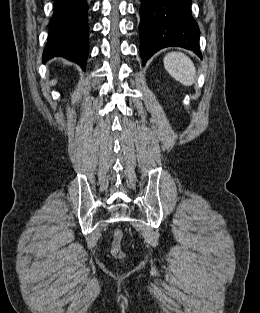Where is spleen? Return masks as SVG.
I'll use <instances>...</instances> for the list:
<instances>
[{
	"instance_id": "1",
	"label": "spleen",
	"mask_w": 260,
	"mask_h": 313,
	"mask_svg": "<svg viewBox=\"0 0 260 313\" xmlns=\"http://www.w3.org/2000/svg\"><path fill=\"white\" fill-rule=\"evenodd\" d=\"M166 71L184 86H191L196 80V68L192 60L181 52H170L163 59Z\"/></svg>"
}]
</instances>
